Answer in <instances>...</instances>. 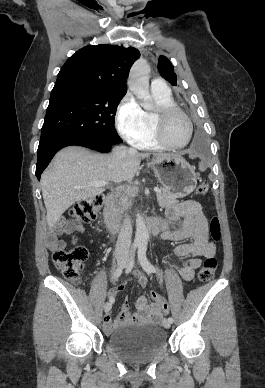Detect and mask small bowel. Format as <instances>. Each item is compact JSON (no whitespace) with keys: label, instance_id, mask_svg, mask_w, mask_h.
<instances>
[{"label":"small bowel","instance_id":"1","mask_svg":"<svg viewBox=\"0 0 265 388\" xmlns=\"http://www.w3.org/2000/svg\"><path fill=\"white\" fill-rule=\"evenodd\" d=\"M161 237L163 240L171 242H182L191 238V243L178 244L174 252L181 258H189L186 260L178 272L181 278L185 281H190L194 278L195 271L201 266L202 258L214 257L216 246L209 241L208 236V221L205 217L201 204L194 200L185 201L166 210L165 219ZM173 224H179L173 227ZM85 233L83 225L76 223L73 220L60 217L55 222L50 233L49 247L52 251L61 249L65 246L64 242L58 239V236L63 233ZM139 286L144 287L148 282L146 275L135 273L132 278ZM125 284L119 285L109 293V300L115 301L116 295L122 291ZM112 302V303H113ZM138 312L131 314L129 302L126 301L121 308L120 314L116 319L112 320L110 315L104 318V330L109 333L112 330L125 324H141L146 322H159L162 318V311L158 304L147 302L145 296H141L137 301Z\"/></svg>","mask_w":265,"mask_h":388}]
</instances>
